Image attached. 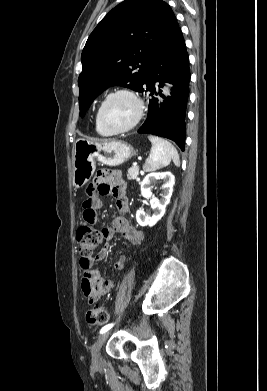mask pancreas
Segmentation results:
<instances>
[{
    "label": "pancreas",
    "instance_id": "pancreas-1",
    "mask_svg": "<svg viewBox=\"0 0 267 391\" xmlns=\"http://www.w3.org/2000/svg\"><path fill=\"white\" fill-rule=\"evenodd\" d=\"M138 174H139V167L138 166H132L131 168L128 169L127 178L129 180L137 179Z\"/></svg>",
    "mask_w": 267,
    "mask_h": 391
}]
</instances>
